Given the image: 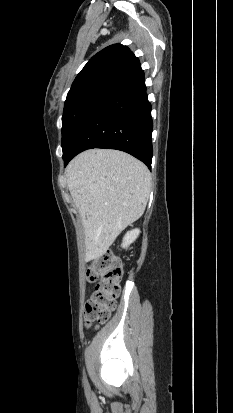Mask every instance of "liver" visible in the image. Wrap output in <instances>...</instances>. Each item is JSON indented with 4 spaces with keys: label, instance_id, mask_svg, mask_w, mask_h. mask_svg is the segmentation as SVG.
Instances as JSON below:
<instances>
[{
    "label": "liver",
    "instance_id": "liver-1",
    "mask_svg": "<svg viewBox=\"0 0 233 413\" xmlns=\"http://www.w3.org/2000/svg\"><path fill=\"white\" fill-rule=\"evenodd\" d=\"M66 176L84 227L85 260L98 259L143 215L151 189L150 171L127 153L92 149L70 162Z\"/></svg>",
    "mask_w": 233,
    "mask_h": 413
}]
</instances>
